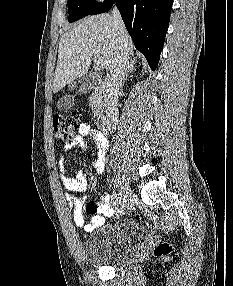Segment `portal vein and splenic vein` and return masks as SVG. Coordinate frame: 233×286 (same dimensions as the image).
Instances as JSON below:
<instances>
[{
  "label": "portal vein and splenic vein",
  "instance_id": "18ae733b",
  "mask_svg": "<svg viewBox=\"0 0 233 286\" xmlns=\"http://www.w3.org/2000/svg\"><path fill=\"white\" fill-rule=\"evenodd\" d=\"M94 61H95V63H96V66H98V67H100V68L105 67L104 60L101 59L100 57H94Z\"/></svg>",
  "mask_w": 233,
  "mask_h": 286
}]
</instances>
